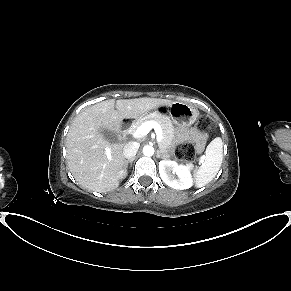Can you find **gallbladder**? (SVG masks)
<instances>
[{"instance_id": "gallbladder-1", "label": "gallbladder", "mask_w": 291, "mask_h": 291, "mask_svg": "<svg viewBox=\"0 0 291 291\" xmlns=\"http://www.w3.org/2000/svg\"><path fill=\"white\" fill-rule=\"evenodd\" d=\"M102 135L104 136V138L106 140H108L109 142H117L118 138H117V135L111 131H108V130H103L102 131Z\"/></svg>"}]
</instances>
